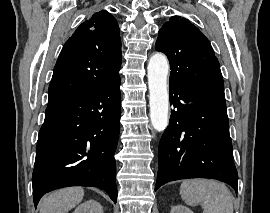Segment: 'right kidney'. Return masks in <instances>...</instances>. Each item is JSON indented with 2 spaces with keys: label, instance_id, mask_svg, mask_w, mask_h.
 <instances>
[{
  "label": "right kidney",
  "instance_id": "ca27d5eb",
  "mask_svg": "<svg viewBox=\"0 0 270 213\" xmlns=\"http://www.w3.org/2000/svg\"><path fill=\"white\" fill-rule=\"evenodd\" d=\"M73 213H103V208L99 202L88 200L79 205Z\"/></svg>",
  "mask_w": 270,
  "mask_h": 213
}]
</instances>
